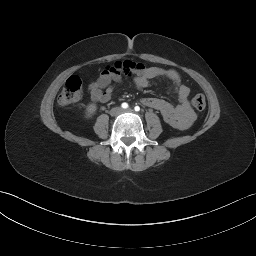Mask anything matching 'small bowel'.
<instances>
[{
    "instance_id": "obj_1",
    "label": "small bowel",
    "mask_w": 256,
    "mask_h": 256,
    "mask_svg": "<svg viewBox=\"0 0 256 256\" xmlns=\"http://www.w3.org/2000/svg\"><path fill=\"white\" fill-rule=\"evenodd\" d=\"M122 72L133 74V82L138 88H146L150 81L157 77L170 80L177 93L179 104L173 105L160 98L145 97L142 99L143 105L158 111L164 121L173 128L184 130L193 123L195 113L189 103L190 89L182 83L181 76L175 69L146 66L143 63L129 60L117 62L103 70L98 79L89 85L91 100L99 103L109 102L114 92L111 83H120Z\"/></svg>"
}]
</instances>
